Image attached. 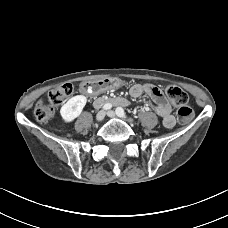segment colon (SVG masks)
I'll return each mask as SVG.
<instances>
[{
	"label": "colon",
	"instance_id": "colon-1",
	"mask_svg": "<svg viewBox=\"0 0 228 228\" xmlns=\"http://www.w3.org/2000/svg\"><path fill=\"white\" fill-rule=\"evenodd\" d=\"M74 92V85L72 83H62L53 88L48 95V101L40 100L36 103L34 114L36 119L41 123H46L51 120L54 115L56 106L66 102ZM166 94L170 102L178 107L177 118L181 123L189 122L193 116L194 111L188 105V95L181 88L177 86H168Z\"/></svg>",
	"mask_w": 228,
	"mask_h": 228
}]
</instances>
